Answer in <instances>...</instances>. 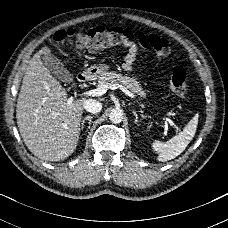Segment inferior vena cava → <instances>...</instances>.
Listing matches in <instances>:
<instances>
[{
    "instance_id": "obj_1",
    "label": "inferior vena cava",
    "mask_w": 228,
    "mask_h": 228,
    "mask_svg": "<svg viewBox=\"0 0 228 228\" xmlns=\"http://www.w3.org/2000/svg\"><path fill=\"white\" fill-rule=\"evenodd\" d=\"M84 109L87 112L93 113V114H97L101 111L102 109V104L97 101V100H93V99H87L84 103Z\"/></svg>"
}]
</instances>
